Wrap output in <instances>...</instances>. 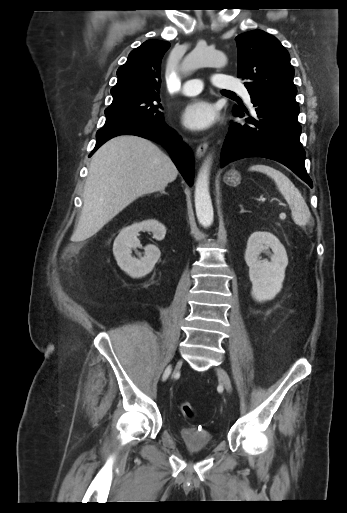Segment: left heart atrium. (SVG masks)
Listing matches in <instances>:
<instances>
[{
    "label": "left heart atrium",
    "instance_id": "left-heart-atrium-1",
    "mask_svg": "<svg viewBox=\"0 0 347 513\" xmlns=\"http://www.w3.org/2000/svg\"><path fill=\"white\" fill-rule=\"evenodd\" d=\"M216 119V111L209 101L194 99L183 109L181 120L185 127L200 131L209 128Z\"/></svg>",
    "mask_w": 347,
    "mask_h": 513
}]
</instances>
